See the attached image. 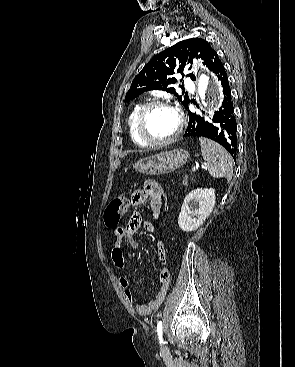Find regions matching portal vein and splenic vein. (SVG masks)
I'll return each instance as SVG.
<instances>
[{
    "label": "portal vein and splenic vein",
    "instance_id": "18ae733b",
    "mask_svg": "<svg viewBox=\"0 0 295 367\" xmlns=\"http://www.w3.org/2000/svg\"><path fill=\"white\" fill-rule=\"evenodd\" d=\"M197 170H198V169H197L196 167H193V168H192V172H194V173H195Z\"/></svg>",
    "mask_w": 295,
    "mask_h": 367
}]
</instances>
